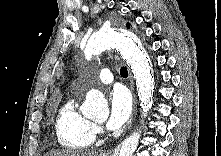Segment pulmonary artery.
I'll return each instance as SVG.
<instances>
[{"label": "pulmonary artery", "mask_w": 221, "mask_h": 156, "mask_svg": "<svg viewBox=\"0 0 221 156\" xmlns=\"http://www.w3.org/2000/svg\"><path fill=\"white\" fill-rule=\"evenodd\" d=\"M98 81L103 84H110L113 81V74L108 68L102 69L98 74Z\"/></svg>", "instance_id": "1"}]
</instances>
